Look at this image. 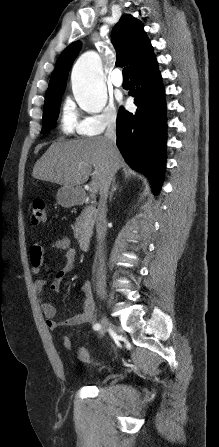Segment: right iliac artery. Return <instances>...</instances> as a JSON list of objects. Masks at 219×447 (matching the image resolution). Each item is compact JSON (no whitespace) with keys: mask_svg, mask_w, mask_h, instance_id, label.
I'll return each mask as SVG.
<instances>
[{"mask_svg":"<svg viewBox=\"0 0 219 447\" xmlns=\"http://www.w3.org/2000/svg\"><path fill=\"white\" fill-rule=\"evenodd\" d=\"M100 327H101L100 324L96 323V324H94L93 329L94 330H99Z\"/></svg>","mask_w":219,"mask_h":447,"instance_id":"obj_1","label":"right iliac artery"}]
</instances>
